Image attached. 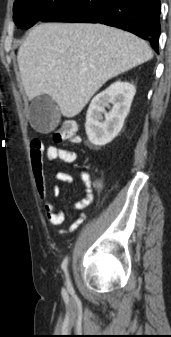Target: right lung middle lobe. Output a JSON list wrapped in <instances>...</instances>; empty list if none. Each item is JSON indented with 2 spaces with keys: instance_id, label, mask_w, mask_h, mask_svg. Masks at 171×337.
<instances>
[{
  "instance_id": "obj_1",
  "label": "right lung middle lobe",
  "mask_w": 171,
  "mask_h": 337,
  "mask_svg": "<svg viewBox=\"0 0 171 337\" xmlns=\"http://www.w3.org/2000/svg\"><path fill=\"white\" fill-rule=\"evenodd\" d=\"M67 0H16L14 22L18 28H30L37 21L44 20Z\"/></svg>"
}]
</instances>
